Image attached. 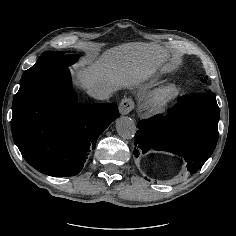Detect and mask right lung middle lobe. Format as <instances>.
<instances>
[{
  "mask_svg": "<svg viewBox=\"0 0 236 236\" xmlns=\"http://www.w3.org/2000/svg\"><path fill=\"white\" fill-rule=\"evenodd\" d=\"M77 58V55H64L61 52L44 54L38 58L37 62L30 69L23 73L20 84L46 72L68 67L75 63Z\"/></svg>",
  "mask_w": 236,
  "mask_h": 236,
  "instance_id": "dd1d6c3e",
  "label": "right lung middle lobe"
}]
</instances>
